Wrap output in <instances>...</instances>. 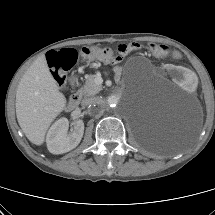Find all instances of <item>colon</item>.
Listing matches in <instances>:
<instances>
[{"mask_svg":"<svg viewBox=\"0 0 215 215\" xmlns=\"http://www.w3.org/2000/svg\"><path fill=\"white\" fill-rule=\"evenodd\" d=\"M137 48L138 43L122 44L118 47V52L123 56L135 52ZM150 50L152 54L157 57H163L169 54L168 48L162 45H151ZM80 54L86 58H94L103 61H112L115 58L111 48L83 47ZM77 58L78 52L74 49H62L60 51H50L47 53L46 59L48 66L59 86L65 84L66 73L76 63Z\"/></svg>","mask_w":215,"mask_h":215,"instance_id":"colon-1","label":"colon"}]
</instances>
